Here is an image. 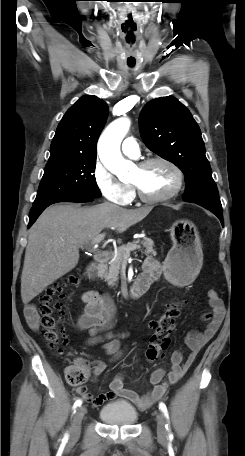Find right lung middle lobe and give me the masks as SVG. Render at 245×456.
Here are the masks:
<instances>
[{
    "instance_id": "1",
    "label": "right lung middle lobe",
    "mask_w": 245,
    "mask_h": 456,
    "mask_svg": "<svg viewBox=\"0 0 245 456\" xmlns=\"http://www.w3.org/2000/svg\"><path fill=\"white\" fill-rule=\"evenodd\" d=\"M96 156L47 163L33 206L71 197H101L95 176Z\"/></svg>"
}]
</instances>
